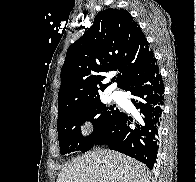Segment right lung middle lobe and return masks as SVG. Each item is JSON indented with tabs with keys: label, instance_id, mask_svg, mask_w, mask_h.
<instances>
[{
	"label": "right lung middle lobe",
	"instance_id": "1",
	"mask_svg": "<svg viewBox=\"0 0 196 182\" xmlns=\"http://www.w3.org/2000/svg\"><path fill=\"white\" fill-rule=\"evenodd\" d=\"M119 112L114 105L106 106L100 97H96L59 114L57 129L61 155L75 150L82 152L90 150ZM85 121H91L94 125V131L89 137L81 135L80 125Z\"/></svg>",
	"mask_w": 196,
	"mask_h": 182
}]
</instances>
